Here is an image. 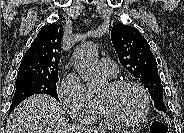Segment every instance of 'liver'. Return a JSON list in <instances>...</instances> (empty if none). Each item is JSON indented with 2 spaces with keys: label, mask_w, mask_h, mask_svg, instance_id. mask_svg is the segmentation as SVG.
Returning <instances> with one entry per match:
<instances>
[{
  "label": "liver",
  "mask_w": 184,
  "mask_h": 133,
  "mask_svg": "<svg viewBox=\"0 0 184 133\" xmlns=\"http://www.w3.org/2000/svg\"><path fill=\"white\" fill-rule=\"evenodd\" d=\"M63 110L49 95L25 99L10 114L7 133H98L97 129L73 127L62 119Z\"/></svg>",
  "instance_id": "6515ba94"
}]
</instances>
